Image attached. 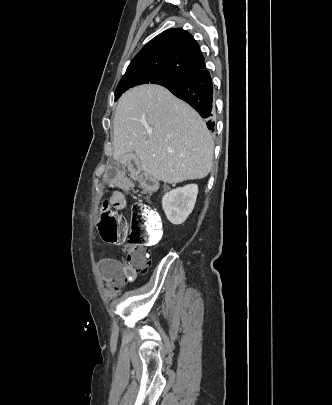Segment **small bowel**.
<instances>
[{
    "label": "small bowel",
    "mask_w": 332,
    "mask_h": 405,
    "mask_svg": "<svg viewBox=\"0 0 332 405\" xmlns=\"http://www.w3.org/2000/svg\"><path fill=\"white\" fill-rule=\"evenodd\" d=\"M124 173V164L122 162H109L107 172L102 173V186H120ZM126 180L136 181L137 173L127 172ZM109 205L113 206L114 211H125L126 209V204L120 192H115L109 198ZM98 266L102 275L116 286L122 284L128 276L132 275V273H127L120 262L115 259H101Z\"/></svg>",
    "instance_id": "obj_1"
}]
</instances>
